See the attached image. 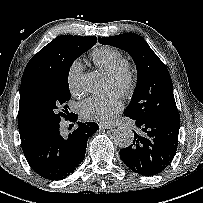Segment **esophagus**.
<instances>
[{
  "instance_id": "esophagus-1",
  "label": "esophagus",
  "mask_w": 203,
  "mask_h": 203,
  "mask_svg": "<svg viewBox=\"0 0 203 203\" xmlns=\"http://www.w3.org/2000/svg\"><path fill=\"white\" fill-rule=\"evenodd\" d=\"M100 129H113L114 126L110 124L100 123L99 124Z\"/></svg>"
}]
</instances>
